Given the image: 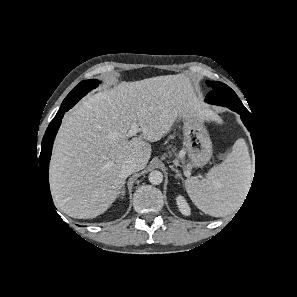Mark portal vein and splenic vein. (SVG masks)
<instances>
[{
  "instance_id": "18ae733b",
  "label": "portal vein and splenic vein",
  "mask_w": 297,
  "mask_h": 297,
  "mask_svg": "<svg viewBox=\"0 0 297 297\" xmlns=\"http://www.w3.org/2000/svg\"><path fill=\"white\" fill-rule=\"evenodd\" d=\"M139 131H140V128L138 127V125L136 123H134V124H132V126L128 132V136L132 137V136L136 135Z\"/></svg>"
}]
</instances>
